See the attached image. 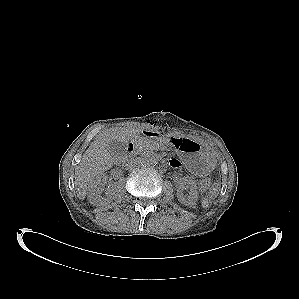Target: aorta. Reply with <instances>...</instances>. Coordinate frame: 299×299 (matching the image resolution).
<instances>
[{"label":"aorta","instance_id":"aorta-1","mask_svg":"<svg viewBox=\"0 0 299 299\" xmlns=\"http://www.w3.org/2000/svg\"><path fill=\"white\" fill-rule=\"evenodd\" d=\"M159 162V157L155 152H145L141 157V163L147 167L156 166Z\"/></svg>","mask_w":299,"mask_h":299}]
</instances>
